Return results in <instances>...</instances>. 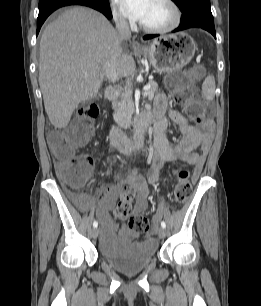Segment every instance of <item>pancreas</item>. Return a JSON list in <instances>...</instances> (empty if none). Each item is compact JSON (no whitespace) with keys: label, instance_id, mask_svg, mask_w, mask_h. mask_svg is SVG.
Masks as SVG:
<instances>
[{"label":"pancreas","instance_id":"pancreas-1","mask_svg":"<svg viewBox=\"0 0 261 306\" xmlns=\"http://www.w3.org/2000/svg\"><path fill=\"white\" fill-rule=\"evenodd\" d=\"M150 89L148 96H153L158 91V84L155 81L149 82ZM113 118L115 122L121 126L126 127L131 124L132 114L134 112V104L130 90H123L119 98L113 102Z\"/></svg>","mask_w":261,"mask_h":306}]
</instances>
